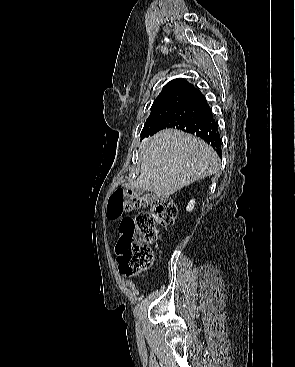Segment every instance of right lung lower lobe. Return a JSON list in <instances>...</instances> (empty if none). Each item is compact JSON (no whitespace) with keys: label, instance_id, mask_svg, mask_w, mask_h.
<instances>
[{"label":"right lung lower lobe","instance_id":"obj_1","mask_svg":"<svg viewBox=\"0 0 295 367\" xmlns=\"http://www.w3.org/2000/svg\"><path fill=\"white\" fill-rule=\"evenodd\" d=\"M166 128H176L196 135L210 144L221 156V138L212 111L200 91H195L148 135ZM145 136V137H148Z\"/></svg>","mask_w":295,"mask_h":367}]
</instances>
